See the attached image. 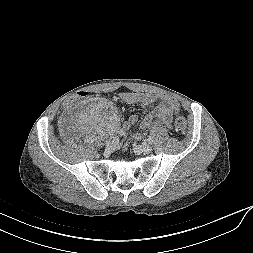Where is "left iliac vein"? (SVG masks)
<instances>
[{
    "mask_svg": "<svg viewBox=\"0 0 253 253\" xmlns=\"http://www.w3.org/2000/svg\"><path fill=\"white\" fill-rule=\"evenodd\" d=\"M152 151V147L149 144L138 145L135 147V152L138 154H149Z\"/></svg>",
    "mask_w": 253,
    "mask_h": 253,
    "instance_id": "obj_1",
    "label": "left iliac vein"
}]
</instances>
